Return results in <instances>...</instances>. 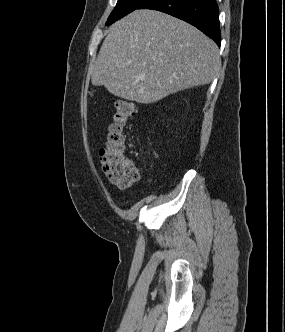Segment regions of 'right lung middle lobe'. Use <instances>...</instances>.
Segmentation results:
<instances>
[{
    "label": "right lung middle lobe",
    "instance_id": "1",
    "mask_svg": "<svg viewBox=\"0 0 285 332\" xmlns=\"http://www.w3.org/2000/svg\"><path fill=\"white\" fill-rule=\"evenodd\" d=\"M147 0H118L116 7L111 12L106 25L114 23L119 18L129 14L130 12L137 9Z\"/></svg>",
    "mask_w": 285,
    "mask_h": 332
}]
</instances>
